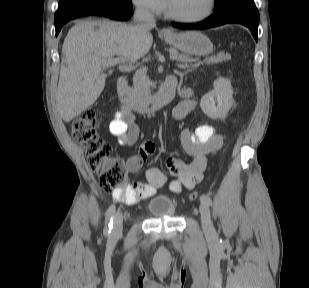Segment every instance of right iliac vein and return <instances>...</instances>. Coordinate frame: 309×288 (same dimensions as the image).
Returning <instances> with one entry per match:
<instances>
[{
    "label": "right iliac vein",
    "mask_w": 309,
    "mask_h": 288,
    "mask_svg": "<svg viewBox=\"0 0 309 288\" xmlns=\"http://www.w3.org/2000/svg\"><path fill=\"white\" fill-rule=\"evenodd\" d=\"M122 222H123V216L121 213H116L114 217V224L112 229V238H117L122 232Z\"/></svg>",
    "instance_id": "right-iliac-vein-1"
}]
</instances>
